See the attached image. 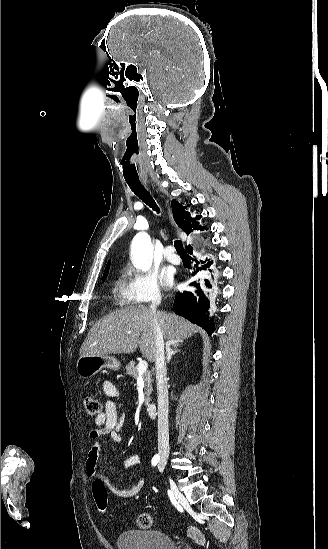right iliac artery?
Segmentation results:
<instances>
[{"mask_svg":"<svg viewBox=\"0 0 328 549\" xmlns=\"http://www.w3.org/2000/svg\"><path fill=\"white\" fill-rule=\"evenodd\" d=\"M160 460V456L158 454H156L153 458H152V465L153 466H156L158 464Z\"/></svg>","mask_w":328,"mask_h":549,"instance_id":"1","label":"right iliac artery"}]
</instances>
